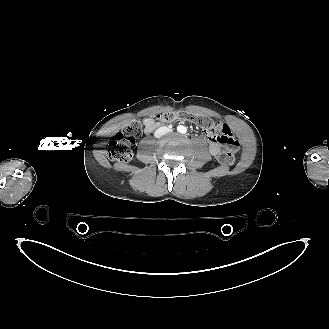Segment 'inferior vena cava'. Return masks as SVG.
Instances as JSON below:
<instances>
[{"instance_id": "602c4592", "label": "inferior vena cava", "mask_w": 329, "mask_h": 329, "mask_svg": "<svg viewBox=\"0 0 329 329\" xmlns=\"http://www.w3.org/2000/svg\"><path fill=\"white\" fill-rule=\"evenodd\" d=\"M170 131V129L166 126H162V127H159L155 133H154V136L156 138H160L161 136L165 135L166 133H168Z\"/></svg>"}]
</instances>
